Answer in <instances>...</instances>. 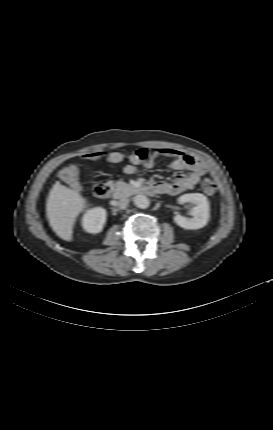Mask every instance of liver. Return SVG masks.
Listing matches in <instances>:
<instances>
[{"mask_svg":"<svg viewBox=\"0 0 273 430\" xmlns=\"http://www.w3.org/2000/svg\"><path fill=\"white\" fill-rule=\"evenodd\" d=\"M87 200L78 192L57 181L49 192L47 217L54 232L65 241H72L73 227Z\"/></svg>","mask_w":273,"mask_h":430,"instance_id":"1","label":"liver"}]
</instances>
